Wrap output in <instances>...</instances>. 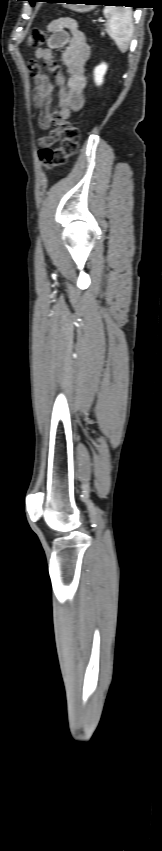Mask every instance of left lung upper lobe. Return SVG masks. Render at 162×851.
I'll return each mask as SVG.
<instances>
[{"instance_id": "5c2ea615", "label": "left lung upper lobe", "mask_w": 162, "mask_h": 851, "mask_svg": "<svg viewBox=\"0 0 162 851\" xmlns=\"http://www.w3.org/2000/svg\"><path fill=\"white\" fill-rule=\"evenodd\" d=\"M27 1H29V2L31 3V5H34V3H35L37 0H27Z\"/></svg>"}]
</instances>
